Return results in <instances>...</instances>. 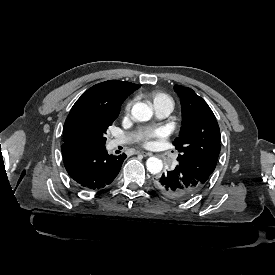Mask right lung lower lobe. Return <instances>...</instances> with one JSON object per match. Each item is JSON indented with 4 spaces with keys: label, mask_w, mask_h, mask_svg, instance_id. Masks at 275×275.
Here are the masks:
<instances>
[{
    "label": "right lung lower lobe",
    "mask_w": 275,
    "mask_h": 275,
    "mask_svg": "<svg viewBox=\"0 0 275 275\" xmlns=\"http://www.w3.org/2000/svg\"><path fill=\"white\" fill-rule=\"evenodd\" d=\"M64 166L70 177L82 188L98 190L112 183L126 159L109 155L105 146L89 143H64Z\"/></svg>",
    "instance_id": "right-lung-lower-lobe-1"
}]
</instances>
